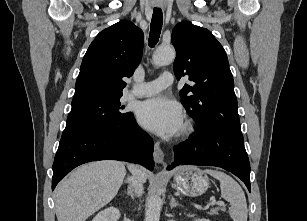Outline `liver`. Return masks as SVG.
<instances>
[{
	"instance_id": "1",
	"label": "liver",
	"mask_w": 307,
	"mask_h": 221,
	"mask_svg": "<svg viewBox=\"0 0 307 221\" xmlns=\"http://www.w3.org/2000/svg\"><path fill=\"white\" fill-rule=\"evenodd\" d=\"M129 169L141 183L146 182L148 174L144 168L130 165ZM125 175L124 163L115 160L78 167L55 189L57 220L85 221L116 196Z\"/></svg>"
}]
</instances>
